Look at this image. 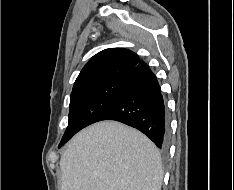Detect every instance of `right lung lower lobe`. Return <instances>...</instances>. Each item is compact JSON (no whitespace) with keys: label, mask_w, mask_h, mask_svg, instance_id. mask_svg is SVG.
I'll use <instances>...</instances> for the list:
<instances>
[{"label":"right lung lower lobe","mask_w":234,"mask_h":190,"mask_svg":"<svg viewBox=\"0 0 234 190\" xmlns=\"http://www.w3.org/2000/svg\"><path fill=\"white\" fill-rule=\"evenodd\" d=\"M115 120L134 127L166 150L169 122L164 99L155 75L140 62L124 78L119 94L99 121Z\"/></svg>","instance_id":"1"}]
</instances>
